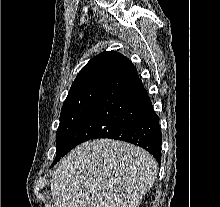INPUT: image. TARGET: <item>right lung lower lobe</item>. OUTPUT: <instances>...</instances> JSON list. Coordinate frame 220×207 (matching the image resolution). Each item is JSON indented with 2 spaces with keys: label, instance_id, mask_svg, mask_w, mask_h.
Listing matches in <instances>:
<instances>
[{
  "label": "right lung lower lobe",
  "instance_id": "98d812e1",
  "mask_svg": "<svg viewBox=\"0 0 220 207\" xmlns=\"http://www.w3.org/2000/svg\"><path fill=\"white\" fill-rule=\"evenodd\" d=\"M96 138L135 144L146 149L160 163L162 134L159 117L134 65L103 82L87 114L70 138L65 154L76 145Z\"/></svg>",
  "mask_w": 220,
  "mask_h": 207
}]
</instances>
